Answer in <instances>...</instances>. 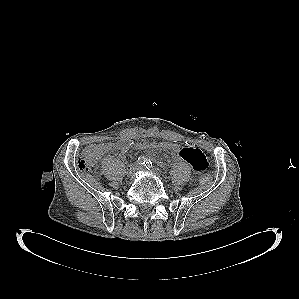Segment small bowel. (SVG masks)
<instances>
[{"label": "small bowel", "mask_w": 299, "mask_h": 299, "mask_svg": "<svg viewBox=\"0 0 299 299\" xmlns=\"http://www.w3.org/2000/svg\"><path fill=\"white\" fill-rule=\"evenodd\" d=\"M120 141L125 145L120 152L126 153L132 145V139L123 138ZM141 143H146V141H141ZM167 149L175 152L180 159L190 164L196 172H203L208 167V161L203 152L191 144L183 147L171 144Z\"/></svg>", "instance_id": "c3829d8e"}]
</instances>
